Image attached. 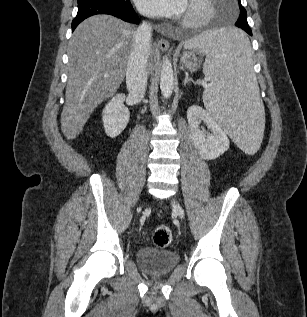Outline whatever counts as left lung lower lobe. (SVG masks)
Returning <instances> with one entry per match:
<instances>
[{"label":"left lung lower lobe","mask_w":307,"mask_h":317,"mask_svg":"<svg viewBox=\"0 0 307 317\" xmlns=\"http://www.w3.org/2000/svg\"><path fill=\"white\" fill-rule=\"evenodd\" d=\"M241 29H243L250 36H252V31H251L250 27H243ZM226 42L232 49H234L237 52L243 51L247 45L246 41L243 38L238 37V36H231L228 40H226Z\"/></svg>","instance_id":"0a47b994"}]
</instances>
